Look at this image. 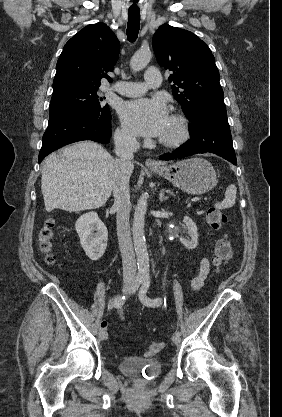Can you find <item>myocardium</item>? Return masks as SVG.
Segmentation results:
<instances>
[{"mask_svg":"<svg viewBox=\"0 0 282 417\" xmlns=\"http://www.w3.org/2000/svg\"><path fill=\"white\" fill-rule=\"evenodd\" d=\"M172 123L175 125V134L172 137H163L159 138V142L167 147H174L184 143L189 137V128L187 120L177 114H173L169 118Z\"/></svg>","mask_w":282,"mask_h":417,"instance_id":"f54148a6","label":"myocardium"}]
</instances>
